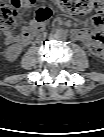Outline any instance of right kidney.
I'll list each match as a JSON object with an SVG mask.
<instances>
[{
  "label": "right kidney",
  "instance_id": "ca27d5eb",
  "mask_svg": "<svg viewBox=\"0 0 104 137\" xmlns=\"http://www.w3.org/2000/svg\"><path fill=\"white\" fill-rule=\"evenodd\" d=\"M21 47L18 45H11L7 48L5 52V57L8 61L13 62L17 59L19 54L21 53Z\"/></svg>",
  "mask_w": 104,
  "mask_h": 137
}]
</instances>
